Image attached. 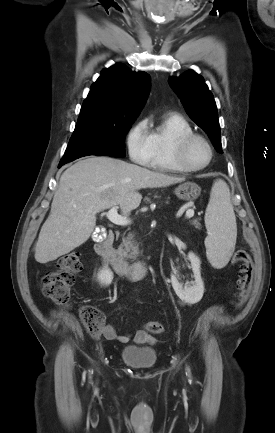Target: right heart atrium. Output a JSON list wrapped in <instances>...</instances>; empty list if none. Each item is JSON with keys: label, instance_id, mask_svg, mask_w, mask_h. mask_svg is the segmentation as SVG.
<instances>
[{"label": "right heart atrium", "instance_id": "obj_1", "mask_svg": "<svg viewBox=\"0 0 275 433\" xmlns=\"http://www.w3.org/2000/svg\"><path fill=\"white\" fill-rule=\"evenodd\" d=\"M126 145L131 160L140 165H147L150 160L151 146L146 119L136 122L128 131Z\"/></svg>", "mask_w": 275, "mask_h": 433}]
</instances>
